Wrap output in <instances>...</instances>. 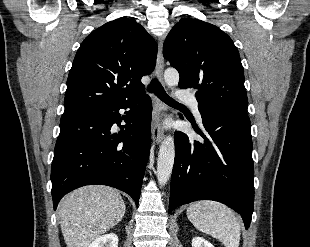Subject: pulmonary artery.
Instances as JSON below:
<instances>
[{
  "label": "pulmonary artery",
  "mask_w": 310,
  "mask_h": 247,
  "mask_svg": "<svg viewBox=\"0 0 310 247\" xmlns=\"http://www.w3.org/2000/svg\"><path fill=\"white\" fill-rule=\"evenodd\" d=\"M177 98L186 102L193 110L195 116L199 121H201V115L199 111V103L197 99L190 93L180 92L177 95Z\"/></svg>",
  "instance_id": "1"
}]
</instances>
